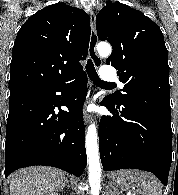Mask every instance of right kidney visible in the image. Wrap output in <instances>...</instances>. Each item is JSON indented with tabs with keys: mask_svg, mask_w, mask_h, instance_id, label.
Listing matches in <instances>:
<instances>
[{
	"mask_svg": "<svg viewBox=\"0 0 178 195\" xmlns=\"http://www.w3.org/2000/svg\"><path fill=\"white\" fill-rule=\"evenodd\" d=\"M46 195H58V194L51 192V193H48Z\"/></svg>",
	"mask_w": 178,
	"mask_h": 195,
	"instance_id": "obj_1",
	"label": "right kidney"
}]
</instances>
